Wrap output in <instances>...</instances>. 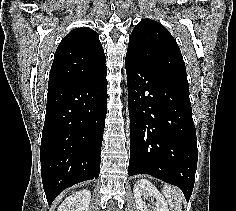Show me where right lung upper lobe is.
Here are the masks:
<instances>
[{
	"label": "right lung upper lobe",
	"mask_w": 236,
	"mask_h": 211,
	"mask_svg": "<svg viewBox=\"0 0 236 211\" xmlns=\"http://www.w3.org/2000/svg\"><path fill=\"white\" fill-rule=\"evenodd\" d=\"M105 62L98 34L90 28H76L56 50L48 90L96 78L107 70Z\"/></svg>",
	"instance_id": "right-lung-upper-lobe-1"
}]
</instances>
